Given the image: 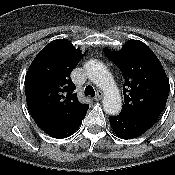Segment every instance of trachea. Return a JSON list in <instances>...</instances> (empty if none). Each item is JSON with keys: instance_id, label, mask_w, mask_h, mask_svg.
<instances>
[{"instance_id": "trachea-1", "label": "trachea", "mask_w": 175, "mask_h": 175, "mask_svg": "<svg viewBox=\"0 0 175 175\" xmlns=\"http://www.w3.org/2000/svg\"><path fill=\"white\" fill-rule=\"evenodd\" d=\"M85 95L86 96H92V97L95 96V91H94L92 86H90V85L86 86V88H85Z\"/></svg>"}]
</instances>
